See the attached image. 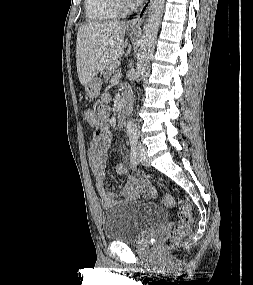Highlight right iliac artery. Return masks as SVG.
<instances>
[{"label":"right iliac artery","instance_id":"obj_1","mask_svg":"<svg viewBox=\"0 0 253 285\" xmlns=\"http://www.w3.org/2000/svg\"><path fill=\"white\" fill-rule=\"evenodd\" d=\"M130 143H131V164L132 167L135 168L139 163L138 154H137V139L135 137H131Z\"/></svg>","mask_w":253,"mask_h":285}]
</instances>
